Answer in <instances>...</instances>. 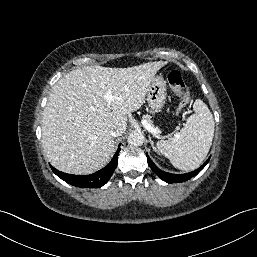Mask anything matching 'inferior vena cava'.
Returning a JSON list of instances; mask_svg holds the SVG:
<instances>
[{
  "mask_svg": "<svg viewBox=\"0 0 257 257\" xmlns=\"http://www.w3.org/2000/svg\"><path fill=\"white\" fill-rule=\"evenodd\" d=\"M122 134H123V131L122 129H119V128L114 129L110 132L111 137H118V136H121Z\"/></svg>",
  "mask_w": 257,
  "mask_h": 257,
  "instance_id": "1",
  "label": "inferior vena cava"
}]
</instances>
